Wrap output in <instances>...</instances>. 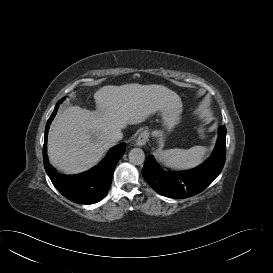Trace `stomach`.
Listing matches in <instances>:
<instances>
[{"instance_id":"obj_1","label":"stomach","mask_w":273,"mask_h":273,"mask_svg":"<svg viewBox=\"0 0 273 273\" xmlns=\"http://www.w3.org/2000/svg\"><path fill=\"white\" fill-rule=\"evenodd\" d=\"M160 116L163 125L166 129H173L180 121V111L177 110H162Z\"/></svg>"}]
</instances>
